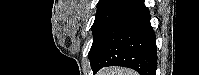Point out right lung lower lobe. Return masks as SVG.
I'll return each mask as SVG.
<instances>
[{
	"label": "right lung lower lobe",
	"mask_w": 199,
	"mask_h": 75,
	"mask_svg": "<svg viewBox=\"0 0 199 75\" xmlns=\"http://www.w3.org/2000/svg\"><path fill=\"white\" fill-rule=\"evenodd\" d=\"M150 18L144 0H129L90 58L93 73L105 66H124L140 75H156V36Z\"/></svg>",
	"instance_id": "obj_1"
}]
</instances>
